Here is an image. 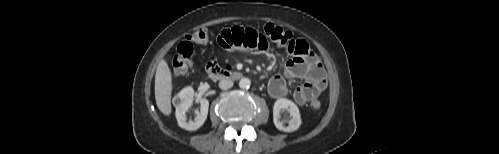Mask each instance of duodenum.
Instances as JSON below:
<instances>
[{
	"mask_svg": "<svg viewBox=\"0 0 499 154\" xmlns=\"http://www.w3.org/2000/svg\"><path fill=\"white\" fill-rule=\"evenodd\" d=\"M209 75L213 79H222V80H240L243 77V74L239 71H233V70H224L222 72H215L212 70H209Z\"/></svg>",
	"mask_w": 499,
	"mask_h": 154,
	"instance_id": "410a0bca",
	"label": "duodenum"
}]
</instances>
